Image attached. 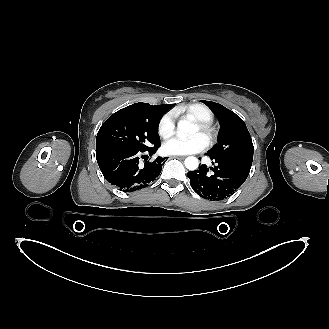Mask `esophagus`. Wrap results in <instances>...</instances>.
I'll list each match as a JSON object with an SVG mask.
<instances>
[{
	"instance_id": "esophagus-1",
	"label": "esophagus",
	"mask_w": 329,
	"mask_h": 329,
	"mask_svg": "<svg viewBox=\"0 0 329 329\" xmlns=\"http://www.w3.org/2000/svg\"><path fill=\"white\" fill-rule=\"evenodd\" d=\"M175 157L180 158V159H184L185 158V156H175Z\"/></svg>"
}]
</instances>
